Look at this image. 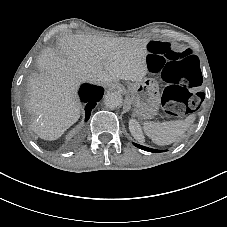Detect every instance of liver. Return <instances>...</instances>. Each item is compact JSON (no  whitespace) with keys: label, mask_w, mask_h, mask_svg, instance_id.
<instances>
[{"label":"liver","mask_w":227,"mask_h":227,"mask_svg":"<svg viewBox=\"0 0 227 227\" xmlns=\"http://www.w3.org/2000/svg\"><path fill=\"white\" fill-rule=\"evenodd\" d=\"M147 39L91 34L59 40L60 52L46 49L38 58L40 74L30 76L25 104L30 128L41 139L56 140L80 117L76 91L80 82L114 88L118 81L140 82L148 73Z\"/></svg>","instance_id":"obj_1"}]
</instances>
